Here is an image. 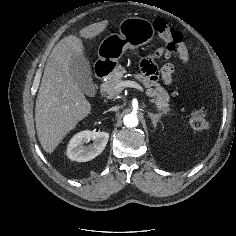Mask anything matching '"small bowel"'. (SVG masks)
Returning a JSON list of instances; mask_svg holds the SVG:
<instances>
[{"instance_id": "obj_1", "label": "small bowel", "mask_w": 236, "mask_h": 236, "mask_svg": "<svg viewBox=\"0 0 236 236\" xmlns=\"http://www.w3.org/2000/svg\"><path fill=\"white\" fill-rule=\"evenodd\" d=\"M180 59L185 62L188 58L187 50L183 48L179 51ZM164 58L167 62L161 67L158 71L155 66V59ZM170 54L169 52L159 49L157 52L150 57L145 58L141 67L146 76H148L151 80H156L159 76L164 82H170L172 80V75L174 72V66L171 62H169Z\"/></svg>"}]
</instances>
